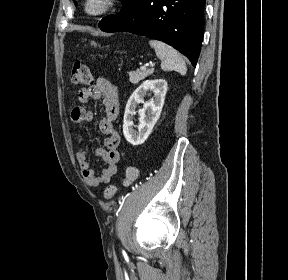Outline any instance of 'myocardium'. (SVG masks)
I'll list each match as a JSON object with an SVG mask.
<instances>
[{"label": "myocardium", "mask_w": 288, "mask_h": 280, "mask_svg": "<svg viewBox=\"0 0 288 280\" xmlns=\"http://www.w3.org/2000/svg\"><path fill=\"white\" fill-rule=\"evenodd\" d=\"M119 0H83V11L89 17H99L112 11Z\"/></svg>", "instance_id": "obj_1"}]
</instances>
